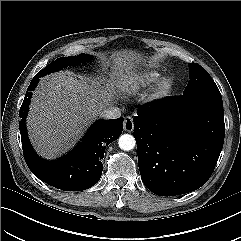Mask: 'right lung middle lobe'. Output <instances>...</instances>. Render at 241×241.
<instances>
[{
    "label": "right lung middle lobe",
    "mask_w": 241,
    "mask_h": 241,
    "mask_svg": "<svg viewBox=\"0 0 241 241\" xmlns=\"http://www.w3.org/2000/svg\"><path fill=\"white\" fill-rule=\"evenodd\" d=\"M93 57L86 54H80L71 57H61L50 63L44 69L39 71L35 76L42 77L49 73L60 70L61 68H66L67 66H74L86 61H90Z\"/></svg>",
    "instance_id": "dd1d6c3e"
}]
</instances>
